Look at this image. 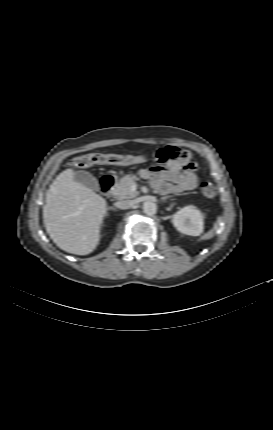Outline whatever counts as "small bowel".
<instances>
[{
  "label": "small bowel",
  "instance_id": "obj_1",
  "mask_svg": "<svg viewBox=\"0 0 273 430\" xmlns=\"http://www.w3.org/2000/svg\"><path fill=\"white\" fill-rule=\"evenodd\" d=\"M162 157L165 158L161 159ZM156 159L159 165L141 169L139 174L142 178L149 179L158 192H185L197 186V165L191 160L189 152H179L173 147L161 148L156 153Z\"/></svg>",
  "mask_w": 273,
  "mask_h": 430
}]
</instances>
